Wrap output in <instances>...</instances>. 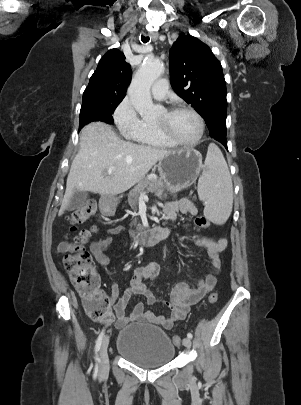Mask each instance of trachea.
Here are the masks:
<instances>
[{
    "label": "trachea",
    "mask_w": 301,
    "mask_h": 405,
    "mask_svg": "<svg viewBox=\"0 0 301 405\" xmlns=\"http://www.w3.org/2000/svg\"><path fill=\"white\" fill-rule=\"evenodd\" d=\"M141 41L143 43H147L149 41V37L141 36Z\"/></svg>",
    "instance_id": "obj_1"
}]
</instances>
